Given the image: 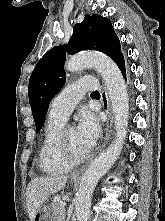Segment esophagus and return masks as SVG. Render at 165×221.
<instances>
[{
	"label": "esophagus",
	"instance_id": "1",
	"mask_svg": "<svg viewBox=\"0 0 165 221\" xmlns=\"http://www.w3.org/2000/svg\"><path fill=\"white\" fill-rule=\"evenodd\" d=\"M107 113H108V118H107L106 127H105V138H104V142H103L100 150L105 148V146L107 145V143L110 139L111 133H112L113 116H112L111 106L109 103H108ZM84 169H85V167H82L80 170H78L76 173H74V176H79L80 174H82Z\"/></svg>",
	"mask_w": 165,
	"mask_h": 221
}]
</instances>
